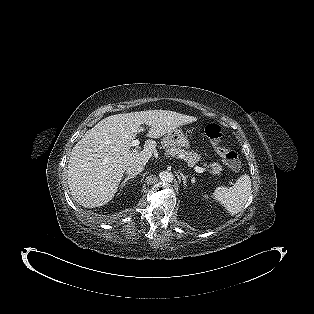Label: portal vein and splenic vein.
<instances>
[{
  "instance_id": "18ae733b",
  "label": "portal vein and splenic vein",
  "mask_w": 314,
  "mask_h": 314,
  "mask_svg": "<svg viewBox=\"0 0 314 314\" xmlns=\"http://www.w3.org/2000/svg\"><path fill=\"white\" fill-rule=\"evenodd\" d=\"M139 144H140L139 140H133L131 142L132 147H137ZM195 171L198 173H203L205 171V169L202 167H195Z\"/></svg>"
}]
</instances>
